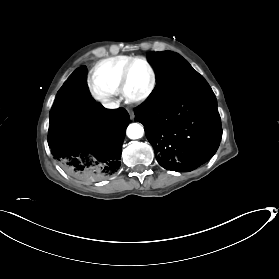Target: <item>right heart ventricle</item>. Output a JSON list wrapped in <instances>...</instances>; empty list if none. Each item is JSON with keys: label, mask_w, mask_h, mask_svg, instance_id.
<instances>
[{"label": "right heart ventricle", "mask_w": 279, "mask_h": 279, "mask_svg": "<svg viewBox=\"0 0 279 279\" xmlns=\"http://www.w3.org/2000/svg\"><path fill=\"white\" fill-rule=\"evenodd\" d=\"M132 56H114L99 61L91 70V84L109 92H119L120 75Z\"/></svg>", "instance_id": "1"}]
</instances>
